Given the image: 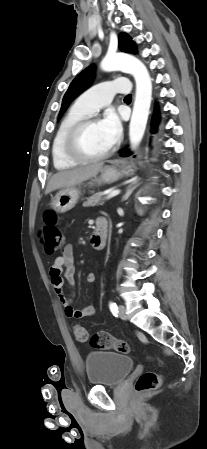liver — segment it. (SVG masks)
Masks as SVG:
<instances>
[{
	"mask_svg": "<svg viewBox=\"0 0 207 449\" xmlns=\"http://www.w3.org/2000/svg\"><path fill=\"white\" fill-rule=\"evenodd\" d=\"M102 167L103 164L100 163L58 172L49 180L45 194H49L60 188L73 187L95 177L101 171Z\"/></svg>",
	"mask_w": 207,
	"mask_h": 449,
	"instance_id": "1",
	"label": "liver"
}]
</instances>
